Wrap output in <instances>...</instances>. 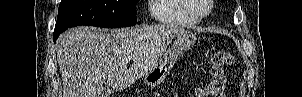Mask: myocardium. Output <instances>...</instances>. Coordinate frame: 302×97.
Returning a JSON list of instances; mask_svg holds the SVG:
<instances>
[{"mask_svg": "<svg viewBox=\"0 0 302 97\" xmlns=\"http://www.w3.org/2000/svg\"><path fill=\"white\" fill-rule=\"evenodd\" d=\"M206 3H207V11L203 14H197V13L193 12L192 9L190 8V6L188 4V0H180V5H181L183 12L190 18L197 20V21L204 19L211 13L212 8H213V0H206Z\"/></svg>", "mask_w": 302, "mask_h": 97, "instance_id": "1", "label": "myocardium"}]
</instances>
